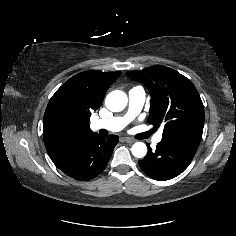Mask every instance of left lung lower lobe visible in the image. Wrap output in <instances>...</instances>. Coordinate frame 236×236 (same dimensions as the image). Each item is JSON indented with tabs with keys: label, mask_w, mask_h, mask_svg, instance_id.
<instances>
[{
	"label": "left lung lower lobe",
	"mask_w": 236,
	"mask_h": 236,
	"mask_svg": "<svg viewBox=\"0 0 236 236\" xmlns=\"http://www.w3.org/2000/svg\"><path fill=\"white\" fill-rule=\"evenodd\" d=\"M200 141L201 139L193 137L162 139L155 151L147 144L148 153L139 161V165L155 180H170L188 167Z\"/></svg>",
	"instance_id": "left-lung-lower-lobe-1"
}]
</instances>
